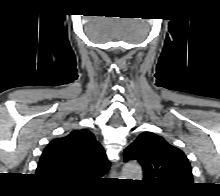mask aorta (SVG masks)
<instances>
[{
	"mask_svg": "<svg viewBox=\"0 0 220 196\" xmlns=\"http://www.w3.org/2000/svg\"><path fill=\"white\" fill-rule=\"evenodd\" d=\"M122 179H142V169L141 166L136 162H128L124 165L122 170Z\"/></svg>",
	"mask_w": 220,
	"mask_h": 196,
	"instance_id": "aorta-1",
	"label": "aorta"
}]
</instances>
